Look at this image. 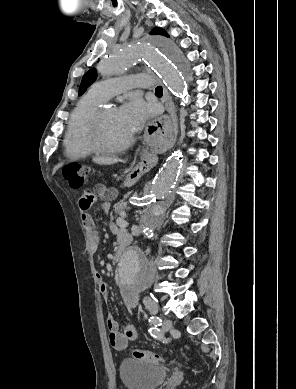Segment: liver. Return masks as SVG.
Segmentation results:
<instances>
[{
    "label": "liver",
    "instance_id": "6515ba94",
    "mask_svg": "<svg viewBox=\"0 0 296 389\" xmlns=\"http://www.w3.org/2000/svg\"><path fill=\"white\" fill-rule=\"evenodd\" d=\"M121 159L118 158H112V157H95L93 158V162L97 164H102V165H111L115 164L118 162H121Z\"/></svg>",
    "mask_w": 296,
    "mask_h": 389
}]
</instances>
